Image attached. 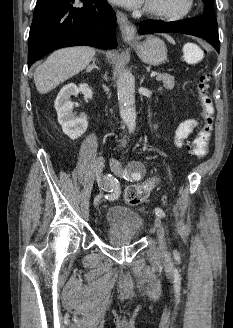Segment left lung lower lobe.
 <instances>
[{
    "instance_id": "obj_1",
    "label": "left lung lower lobe",
    "mask_w": 233,
    "mask_h": 328,
    "mask_svg": "<svg viewBox=\"0 0 233 328\" xmlns=\"http://www.w3.org/2000/svg\"><path fill=\"white\" fill-rule=\"evenodd\" d=\"M164 32H177L203 38L219 52L220 44L216 18L211 19L202 16L186 21L146 20L140 23V34Z\"/></svg>"
}]
</instances>
